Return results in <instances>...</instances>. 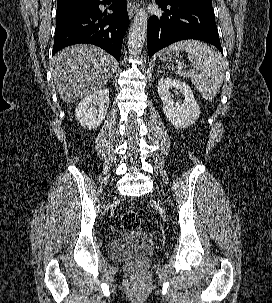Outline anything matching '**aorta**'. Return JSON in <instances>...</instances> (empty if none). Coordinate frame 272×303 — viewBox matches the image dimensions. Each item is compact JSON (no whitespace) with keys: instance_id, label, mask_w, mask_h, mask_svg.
<instances>
[{"instance_id":"1","label":"aorta","mask_w":272,"mask_h":303,"mask_svg":"<svg viewBox=\"0 0 272 303\" xmlns=\"http://www.w3.org/2000/svg\"><path fill=\"white\" fill-rule=\"evenodd\" d=\"M148 17L145 9H141L131 23L128 35V52L131 55H138L145 44L147 34Z\"/></svg>"}]
</instances>
